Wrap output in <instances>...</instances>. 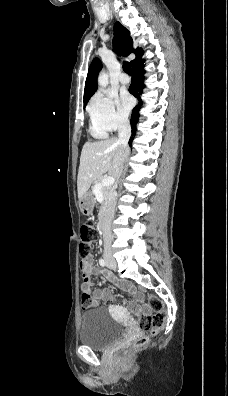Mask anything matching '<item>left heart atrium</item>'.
Masks as SVG:
<instances>
[{
	"label": "left heart atrium",
	"mask_w": 228,
	"mask_h": 396,
	"mask_svg": "<svg viewBox=\"0 0 228 396\" xmlns=\"http://www.w3.org/2000/svg\"><path fill=\"white\" fill-rule=\"evenodd\" d=\"M133 98L131 95H129L127 92L121 93L120 97L118 98L117 104L119 107V110L123 115L128 114L130 109L133 106Z\"/></svg>",
	"instance_id": "39dd6f15"
}]
</instances>
